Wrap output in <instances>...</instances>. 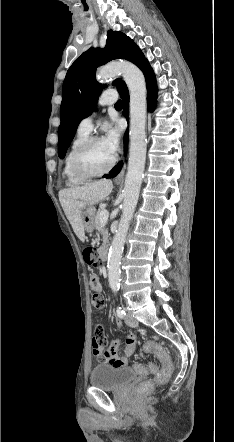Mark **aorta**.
<instances>
[{"mask_svg":"<svg viewBox=\"0 0 234 442\" xmlns=\"http://www.w3.org/2000/svg\"><path fill=\"white\" fill-rule=\"evenodd\" d=\"M122 74L130 93V147L128 170L124 186V201L118 229L113 237L108 255L109 285L113 292L120 287V263L125 239L133 217L146 160V82L142 71L126 61L110 63L96 73L98 82H106Z\"/></svg>","mask_w":234,"mask_h":442,"instance_id":"1","label":"aorta"}]
</instances>
